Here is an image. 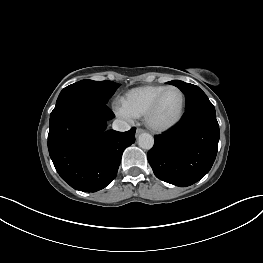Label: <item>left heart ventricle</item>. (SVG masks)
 Segmentation results:
<instances>
[{
	"instance_id": "1",
	"label": "left heart ventricle",
	"mask_w": 263,
	"mask_h": 263,
	"mask_svg": "<svg viewBox=\"0 0 263 263\" xmlns=\"http://www.w3.org/2000/svg\"><path fill=\"white\" fill-rule=\"evenodd\" d=\"M182 105L181 94L177 90H169L162 98L154 116L156 124H166L174 120L180 112Z\"/></svg>"
}]
</instances>
